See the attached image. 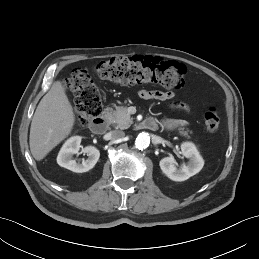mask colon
Returning a JSON list of instances; mask_svg holds the SVG:
<instances>
[{"instance_id": "1", "label": "colon", "mask_w": 259, "mask_h": 259, "mask_svg": "<svg viewBox=\"0 0 259 259\" xmlns=\"http://www.w3.org/2000/svg\"><path fill=\"white\" fill-rule=\"evenodd\" d=\"M103 80L118 84H155L168 89H180L185 84V67L176 61H163L152 56L116 57L98 63L93 69ZM66 88L74 94L78 123L86 126L101 111L102 96L89 72L75 68L66 80ZM205 128L214 132L220 125V114L210 107L204 114Z\"/></svg>"}]
</instances>
